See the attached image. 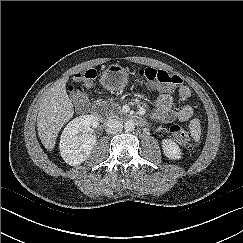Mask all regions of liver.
Here are the masks:
<instances>
[{
    "label": "liver",
    "instance_id": "liver-1",
    "mask_svg": "<svg viewBox=\"0 0 243 243\" xmlns=\"http://www.w3.org/2000/svg\"><path fill=\"white\" fill-rule=\"evenodd\" d=\"M66 81H59L47 92L38 112V135L49 151L54 149L59 131L74 114L73 104L66 92Z\"/></svg>",
    "mask_w": 243,
    "mask_h": 243
}]
</instances>
